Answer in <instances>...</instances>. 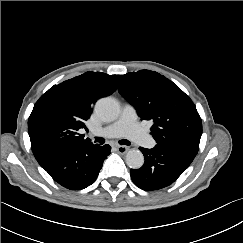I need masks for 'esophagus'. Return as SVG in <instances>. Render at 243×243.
Wrapping results in <instances>:
<instances>
[{
    "instance_id": "obj_1",
    "label": "esophagus",
    "mask_w": 243,
    "mask_h": 243,
    "mask_svg": "<svg viewBox=\"0 0 243 243\" xmlns=\"http://www.w3.org/2000/svg\"><path fill=\"white\" fill-rule=\"evenodd\" d=\"M116 150L121 153V154H124L127 152L128 148L126 146H121V145H118L116 146Z\"/></svg>"
}]
</instances>
